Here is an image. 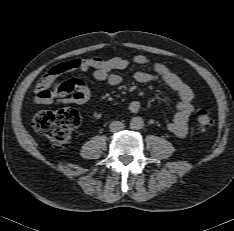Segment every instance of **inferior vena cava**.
I'll return each mask as SVG.
<instances>
[{
  "label": "inferior vena cava",
  "instance_id": "1",
  "mask_svg": "<svg viewBox=\"0 0 234 231\" xmlns=\"http://www.w3.org/2000/svg\"><path fill=\"white\" fill-rule=\"evenodd\" d=\"M124 127L125 126H124V124L122 122H120V121H113V122H111L109 128H110L111 132H118V131L124 129Z\"/></svg>",
  "mask_w": 234,
  "mask_h": 231
}]
</instances>
